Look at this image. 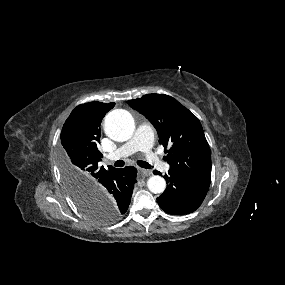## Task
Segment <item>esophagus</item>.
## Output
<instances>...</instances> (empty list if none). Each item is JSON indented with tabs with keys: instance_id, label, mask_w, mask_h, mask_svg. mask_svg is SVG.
I'll return each instance as SVG.
<instances>
[{
	"instance_id": "34e87169",
	"label": "esophagus",
	"mask_w": 285,
	"mask_h": 285,
	"mask_svg": "<svg viewBox=\"0 0 285 285\" xmlns=\"http://www.w3.org/2000/svg\"><path fill=\"white\" fill-rule=\"evenodd\" d=\"M140 173L142 176L146 177V176H150L152 174L151 170H147V169H141Z\"/></svg>"
}]
</instances>
